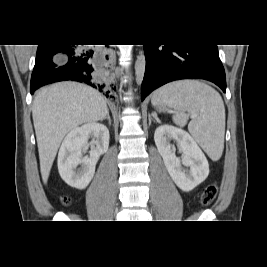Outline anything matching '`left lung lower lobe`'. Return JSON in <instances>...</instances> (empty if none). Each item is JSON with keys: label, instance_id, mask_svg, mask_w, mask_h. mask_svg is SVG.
<instances>
[{"label": "left lung lower lobe", "instance_id": "left-lung-lower-lobe-1", "mask_svg": "<svg viewBox=\"0 0 267 267\" xmlns=\"http://www.w3.org/2000/svg\"><path fill=\"white\" fill-rule=\"evenodd\" d=\"M143 101L156 88L180 79H205L226 92V76L217 45H144Z\"/></svg>", "mask_w": 267, "mask_h": 267}]
</instances>
